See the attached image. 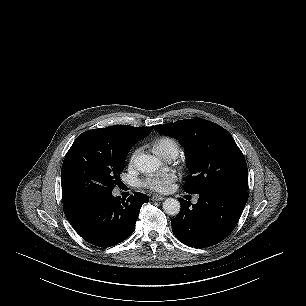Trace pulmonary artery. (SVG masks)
<instances>
[{"mask_svg":"<svg viewBox=\"0 0 306 306\" xmlns=\"http://www.w3.org/2000/svg\"><path fill=\"white\" fill-rule=\"evenodd\" d=\"M176 156H177V154H176V153H173V154L169 155L166 159H167L168 161H173V160L176 158Z\"/></svg>","mask_w":306,"mask_h":306,"instance_id":"obj_1","label":"pulmonary artery"}]
</instances>
